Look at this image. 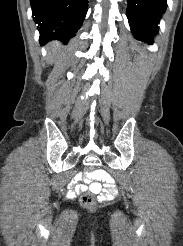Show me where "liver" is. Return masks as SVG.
<instances>
[{
    "label": "liver",
    "mask_w": 183,
    "mask_h": 246,
    "mask_svg": "<svg viewBox=\"0 0 183 246\" xmlns=\"http://www.w3.org/2000/svg\"><path fill=\"white\" fill-rule=\"evenodd\" d=\"M50 53L48 57V62L50 64L54 63L56 59H59L62 56L61 45L58 42H53L49 45Z\"/></svg>",
    "instance_id": "6515ba94"
}]
</instances>
